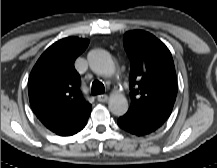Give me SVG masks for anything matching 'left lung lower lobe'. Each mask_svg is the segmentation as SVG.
<instances>
[{
  "mask_svg": "<svg viewBox=\"0 0 217 168\" xmlns=\"http://www.w3.org/2000/svg\"><path fill=\"white\" fill-rule=\"evenodd\" d=\"M117 124L123 130L137 136H144L152 132H155L158 129L152 126H147V125L133 122L132 120H130L125 116L120 117L117 121Z\"/></svg>",
  "mask_w": 217,
  "mask_h": 168,
  "instance_id": "left-lung-lower-lobe-1",
  "label": "left lung lower lobe"
}]
</instances>
